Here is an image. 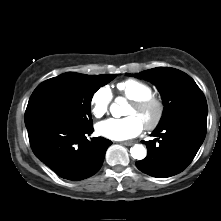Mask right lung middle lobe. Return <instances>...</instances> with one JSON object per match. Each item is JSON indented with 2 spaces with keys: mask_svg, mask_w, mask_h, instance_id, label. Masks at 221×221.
Returning <instances> with one entry per match:
<instances>
[{
  "mask_svg": "<svg viewBox=\"0 0 221 221\" xmlns=\"http://www.w3.org/2000/svg\"><path fill=\"white\" fill-rule=\"evenodd\" d=\"M115 74L64 73L42 82L32 93L25 112V124L38 119H55L80 129L92 127L91 99Z\"/></svg>",
  "mask_w": 221,
  "mask_h": 221,
  "instance_id": "obj_1",
  "label": "right lung middle lobe"
}]
</instances>
